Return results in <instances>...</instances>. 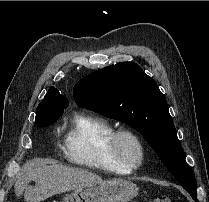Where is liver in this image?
Segmentation results:
<instances>
[{"mask_svg": "<svg viewBox=\"0 0 209 202\" xmlns=\"http://www.w3.org/2000/svg\"><path fill=\"white\" fill-rule=\"evenodd\" d=\"M30 181H34L35 186H29ZM101 181L100 176L84 169L60 164L47 165L42 159H34L23 165L14 189L18 198L24 194L27 202H40Z\"/></svg>", "mask_w": 209, "mask_h": 202, "instance_id": "obj_1", "label": "liver"}]
</instances>
